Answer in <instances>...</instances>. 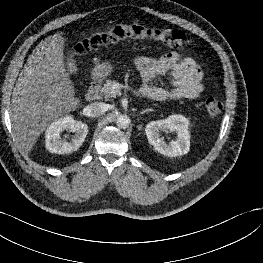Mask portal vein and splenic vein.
Instances as JSON below:
<instances>
[{"mask_svg": "<svg viewBox=\"0 0 263 263\" xmlns=\"http://www.w3.org/2000/svg\"><path fill=\"white\" fill-rule=\"evenodd\" d=\"M118 86H119V84L114 85V87H113V91H115V89H117Z\"/></svg>", "mask_w": 263, "mask_h": 263, "instance_id": "1", "label": "portal vein and splenic vein"}]
</instances>
